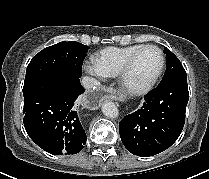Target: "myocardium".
I'll use <instances>...</instances> for the list:
<instances>
[{
  "label": "myocardium",
  "instance_id": "1",
  "mask_svg": "<svg viewBox=\"0 0 209 179\" xmlns=\"http://www.w3.org/2000/svg\"><path fill=\"white\" fill-rule=\"evenodd\" d=\"M156 49L161 56V65L160 68L157 72V74L145 85L139 86V87H132L128 84V75L133 67V65L135 64L136 60L138 59V57L147 49ZM166 66V57L165 54L163 52V50L156 45H145L142 48H140L138 51H136L124 64V66L122 67V69L120 70L119 74H118V82L119 85L121 87V89L127 93L128 95L131 96H141L144 94H147L148 92H150L155 85L157 84V82L159 81V79L161 78L164 69Z\"/></svg>",
  "mask_w": 209,
  "mask_h": 179
}]
</instances>
